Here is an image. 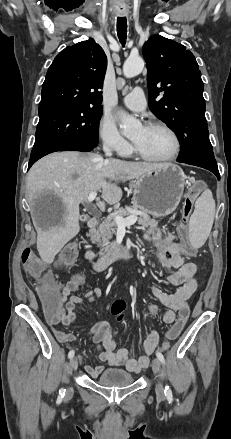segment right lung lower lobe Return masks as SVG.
Returning a JSON list of instances; mask_svg holds the SVG:
<instances>
[{"instance_id":"98d812e1","label":"right lung lower lobe","mask_w":231,"mask_h":439,"mask_svg":"<svg viewBox=\"0 0 231 439\" xmlns=\"http://www.w3.org/2000/svg\"><path fill=\"white\" fill-rule=\"evenodd\" d=\"M93 146L81 143H61L39 148H33L30 156L28 169L41 157L56 151H82L89 152L93 150Z\"/></svg>"}]
</instances>
